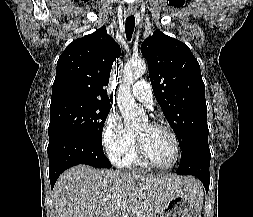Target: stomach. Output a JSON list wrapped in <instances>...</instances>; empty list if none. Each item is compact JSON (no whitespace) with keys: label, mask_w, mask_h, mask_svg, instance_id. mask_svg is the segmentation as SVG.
<instances>
[{"label":"stomach","mask_w":253,"mask_h":217,"mask_svg":"<svg viewBox=\"0 0 253 217\" xmlns=\"http://www.w3.org/2000/svg\"><path fill=\"white\" fill-rule=\"evenodd\" d=\"M202 202L192 196L178 195L169 200L155 217H201Z\"/></svg>","instance_id":"stomach-1"}]
</instances>
